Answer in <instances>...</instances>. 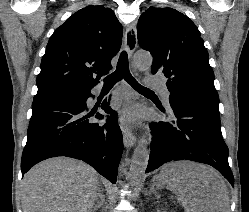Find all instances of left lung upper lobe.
<instances>
[{"label": "left lung upper lobe", "instance_id": "1", "mask_svg": "<svg viewBox=\"0 0 249 212\" xmlns=\"http://www.w3.org/2000/svg\"><path fill=\"white\" fill-rule=\"evenodd\" d=\"M138 43L153 58L152 74H162L170 93L219 103L209 56L196 25L172 8L150 7L138 20Z\"/></svg>", "mask_w": 249, "mask_h": 212}]
</instances>
